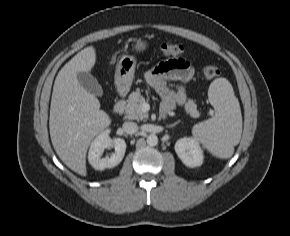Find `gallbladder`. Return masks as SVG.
I'll return each instance as SVG.
<instances>
[{
	"mask_svg": "<svg viewBox=\"0 0 290 236\" xmlns=\"http://www.w3.org/2000/svg\"><path fill=\"white\" fill-rule=\"evenodd\" d=\"M79 84L88 92L95 96H102L103 89L97 79L90 73L80 72L77 75Z\"/></svg>",
	"mask_w": 290,
	"mask_h": 236,
	"instance_id": "1",
	"label": "gallbladder"
}]
</instances>
